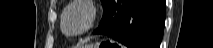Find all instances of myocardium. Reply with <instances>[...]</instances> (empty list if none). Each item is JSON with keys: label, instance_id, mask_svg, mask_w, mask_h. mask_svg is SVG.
Returning a JSON list of instances; mask_svg holds the SVG:
<instances>
[{"label": "myocardium", "instance_id": "f54148a6", "mask_svg": "<svg viewBox=\"0 0 213 48\" xmlns=\"http://www.w3.org/2000/svg\"><path fill=\"white\" fill-rule=\"evenodd\" d=\"M83 7L85 8L88 13H89V19H88V24L87 26L80 32H77V33H69L65 30V26H64V21H65V17H66V14L68 13V11L74 7ZM96 18H97V9L96 7L91 3V1H86V0H78V1H73L71 2L62 12V15H61V30L62 32L69 36V37H78V36H81L85 33H87L90 29H92V27L94 26L95 24V21H96Z\"/></svg>", "mask_w": 213, "mask_h": 48}]
</instances>
